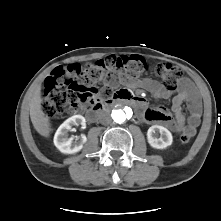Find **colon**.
<instances>
[{
	"mask_svg": "<svg viewBox=\"0 0 221 221\" xmlns=\"http://www.w3.org/2000/svg\"><path fill=\"white\" fill-rule=\"evenodd\" d=\"M124 71L128 79H136L151 72L162 82L164 88L173 90L184 75L173 64H149L138 56H109L84 66L71 64L55 68L44 83L42 112L49 118H62L70 110L96 100L97 84L106 80L109 71ZM189 133L180 136L182 143L191 139Z\"/></svg>",
	"mask_w": 221,
	"mask_h": 221,
	"instance_id": "1",
	"label": "colon"
}]
</instances>
